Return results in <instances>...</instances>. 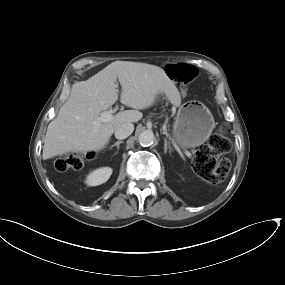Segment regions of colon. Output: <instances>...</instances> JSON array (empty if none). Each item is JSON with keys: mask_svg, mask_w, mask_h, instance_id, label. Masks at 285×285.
<instances>
[{"mask_svg": "<svg viewBox=\"0 0 285 285\" xmlns=\"http://www.w3.org/2000/svg\"><path fill=\"white\" fill-rule=\"evenodd\" d=\"M167 72L178 83H189L193 79V67L185 64H169ZM227 127L218 128L208 143L201 146L193 160V169L204 180L212 183L222 182L230 171V161L223 157L231 152L232 144L227 137ZM84 163L83 156L76 153H67L59 156L55 161L58 171L81 169Z\"/></svg>", "mask_w": 285, "mask_h": 285, "instance_id": "1", "label": "colon"}]
</instances>
